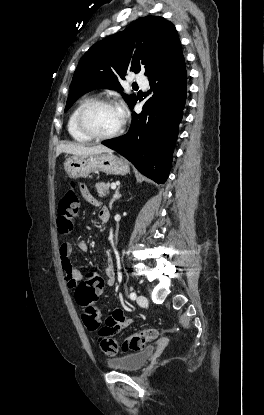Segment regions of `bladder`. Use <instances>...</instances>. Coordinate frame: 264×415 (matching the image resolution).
<instances>
[{"instance_id":"1","label":"bladder","mask_w":264,"mask_h":415,"mask_svg":"<svg viewBox=\"0 0 264 415\" xmlns=\"http://www.w3.org/2000/svg\"><path fill=\"white\" fill-rule=\"evenodd\" d=\"M155 352V346L149 345L142 349L124 354L123 356L108 361V366L119 371H139Z\"/></svg>"}]
</instances>
